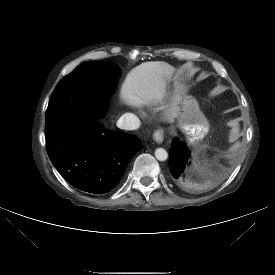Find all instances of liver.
Returning a JSON list of instances; mask_svg holds the SVG:
<instances>
[{"instance_id":"1","label":"liver","mask_w":275,"mask_h":275,"mask_svg":"<svg viewBox=\"0 0 275 275\" xmlns=\"http://www.w3.org/2000/svg\"><path fill=\"white\" fill-rule=\"evenodd\" d=\"M172 66L162 61L145 62L132 69L121 87L122 100L134 107L154 104L165 94ZM161 109H166L162 106Z\"/></svg>"}]
</instances>
